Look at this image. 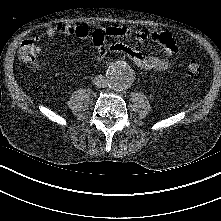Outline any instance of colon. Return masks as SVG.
Here are the masks:
<instances>
[{
	"mask_svg": "<svg viewBox=\"0 0 221 221\" xmlns=\"http://www.w3.org/2000/svg\"><path fill=\"white\" fill-rule=\"evenodd\" d=\"M39 49L37 43L32 38L25 39L19 49V57L22 62L33 64L37 60ZM187 73L190 77L198 78L200 66L196 61H190L187 65Z\"/></svg>",
	"mask_w": 221,
	"mask_h": 221,
	"instance_id": "5ec220e1",
	"label": "colon"
}]
</instances>
